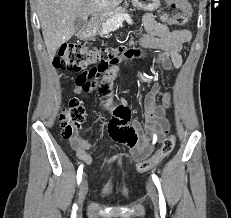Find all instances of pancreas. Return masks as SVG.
<instances>
[{"instance_id": "cf45deb5", "label": "pancreas", "mask_w": 231, "mask_h": 218, "mask_svg": "<svg viewBox=\"0 0 231 218\" xmlns=\"http://www.w3.org/2000/svg\"><path fill=\"white\" fill-rule=\"evenodd\" d=\"M124 20H126L129 24H132L130 16L124 12H116L110 15V17L103 19L100 35L103 36L115 31Z\"/></svg>"}]
</instances>
